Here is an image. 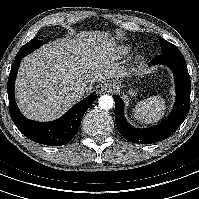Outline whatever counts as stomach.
Instances as JSON below:
<instances>
[{"label": "stomach", "mask_w": 199, "mask_h": 199, "mask_svg": "<svg viewBox=\"0 0 199 199\" xmlns=\"http://www.w3.org/2000/svg\"><path fill=\"white\" fill-rule=\"evenodd\" d=\"M136 94H137V90H135L133 88H130L128 90V95H130V96H136Z\"/></svg>", "instance_id": "stomach-1"}]
</instances>
